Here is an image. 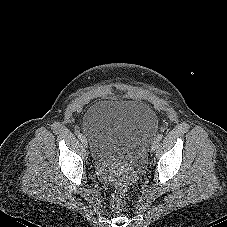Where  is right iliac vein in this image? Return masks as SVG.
Wrapping results in <instances>:
<instances>
[{
    "label": "right iliac vein",
    "mask_w": 227,
    "mask_h": 227,
    "mask_svg": "<svg viewBox=\"0 0 227 227\" xmlns=\"http://www.w3.org/2000/svg\"><path fill=\"white\" fill-rule=\"evenodd\" d=\"M81 142H82V144H83L84 147H87L88 146V141H87V139L85 137H83L81 139Z\"/></svg>",
    "instance_id": "1"
}]
</instances>
